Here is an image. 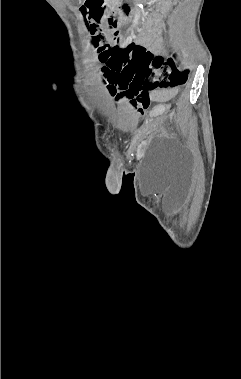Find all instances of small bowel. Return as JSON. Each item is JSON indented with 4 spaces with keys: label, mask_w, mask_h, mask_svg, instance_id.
I'll list each match as a JSON object with an SVG mask.
<instances>
[{
    "label": "small bowel",
    "mask_w": 241,
    "mask_h": 379,
    "mask_svg": "<svg viewBox=\"0 0 241 379\" xmlns=\"http://www.w3.org/2000/svg\"><path fill=\"white\" fill-rule=\"evenodd\" d=\"M112 33L115 35V41H119L116 27L111 28ZM145 43H154L153 51L157 52L162 46L161 39H154L151 34H147L143 37ZM130 41H123L120 45L127 44ZM110 82H108L109 84ZM109 88V86H108ZM111 92H115L116 89H110ZM122 96L128 99L129 105L134 109L137 115H144L145 110H150L152 100L164 102L171 99L176 95V88L158 90L157 86H150V83H139L137 89H120Z\"/></svg>",
    "instance_id": "c3829d8e"
}]
</instances>
